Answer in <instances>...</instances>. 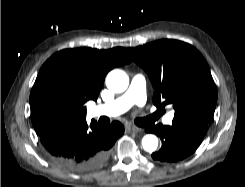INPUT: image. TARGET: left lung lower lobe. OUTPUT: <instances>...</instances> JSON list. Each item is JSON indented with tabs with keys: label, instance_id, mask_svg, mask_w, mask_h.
<instances>
[{
	"label": "left lung lower lobe",
	"instance_id": "1",
	"mask_svg": "<svg viewBox=\"0 0 245 187\" xmlns=\"http://www.w3.org/2000/svg\"><path fill=\"white\" fill-rule=\"evenodd\" d=\"M208 125L205 123H173L147 127L148 133H154L162 141L161 149L152 153V158L166 163L181 161L195 152L201 144Z\"/></svg>",
	"mask_w": 245,
	"mask_h": 187
}]
</instances>
